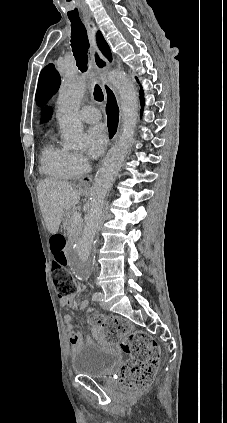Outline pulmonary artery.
Returning <instances> with one entry per match:
<instances>
[{"instance_id": "obj_1", "label": "pulmonary artery", "mask_w": 227, "mask_h": 423, "mask_svg": "<svg viewBox=\"0 0 227 423\" xmlns=\"http://www.w3.org/2000/svg\"><path fill=\"white\" fill-rule=\"evenodd\" d=\"M79 118L87 124H97L101 120V113L94 106H84L79 112Z\"/></svg>"}]
</instances>
